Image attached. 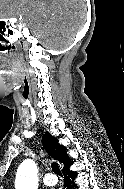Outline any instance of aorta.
<instances>
[{
	"label": "aorta",
	"mask_w": 124,
	"mask_h": 189,
	"mask_svg": "<svg viewBox=\"0 0 124 189\" xmlns=\"http://www.w3.org/2000/svg\"><path fill=\"white\" fill-rule=\"evenodd\" d=\"M37 166L31 159L24 160L17 169L15 189H38Z\"/></svg>",
	"instance_id": "1"
}]
</instances>
